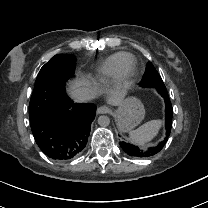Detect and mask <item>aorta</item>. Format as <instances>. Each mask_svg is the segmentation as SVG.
<instances>
[{
    "mask_svg": "<svg viewBox=\"0 0 208 208\" xmlns=\"http://www.w3.org/2000/svg\"><path fill=\"white\" fill-rule=\"evenodd\" d=\"M98 124L101 126V127H107L110 125V119L109 117L107 116H100L98 118Z\"/></svg>",
    "mask_w": 208,
    "mask_h": 208,
    "instance_id": "1",
    "label": "aorta"
}]
</instances>
